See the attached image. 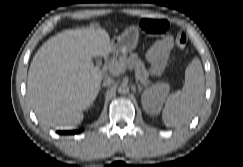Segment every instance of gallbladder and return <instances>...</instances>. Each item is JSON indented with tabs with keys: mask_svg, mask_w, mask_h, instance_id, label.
I'll list each match as a JSON object with an SVG mask.
<instances>
[{
	"mask_svg": "<svg viewBox=\"0 0 243 167\" xmlns=\"http://www.w3.org/2000/svg\"><path fill=\"white\" fill-rule=\"evenodd\" d=\"M95 59H96L97 61H99V57H95Z\"/></svg>",
	"mask_w": 243,
	"mask_h": 167,
	"instance_id": "bac80fb5",
	"label": "gallbladder"
}]
</instances>
